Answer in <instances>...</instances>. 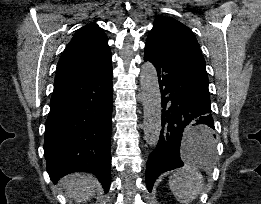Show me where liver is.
Segmentation results:
<instances>
[{"label":"liver","instance_id":"obj_1","mask_svg":"<svg viewBox=\"0 0 261 204\" xmlns=\"http://www.w3.org/2000/svg\"><path fill=\"white\" fill-rule=\"evenodd\" d=\"M66 196L77 202L89 200L99 188L97 179L90 174L76 173L69 175L61 181Z\"/></svg>","mask_w":261,"mask_h":204}]
</instances>
